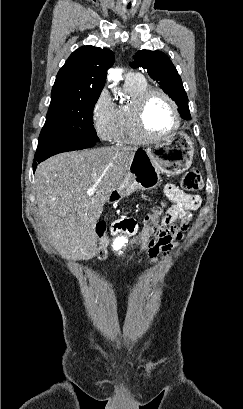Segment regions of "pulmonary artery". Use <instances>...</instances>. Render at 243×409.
I'll return each instance as SVG.
<instances>
[{"mask_svg": "<svg viewBox=\"0 0 243 409\" xmlns=\"http://www.w3.org/2000/svg\"><path fill=\"white\" fill-rule=\"evenodd\" d=\"M142 79H143V77L139 73L130 72V73H128L126 75V80H128V81H140Z\"/></svg>", "mask_w": 243, "mask_h": 409, "instance_id": "e3ab8cb5", "label": "pulmonary artery"}]
</instances>
